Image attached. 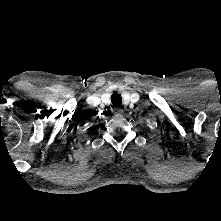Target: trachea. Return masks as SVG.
Returning a JSON list of instances; mask_svg holds the SVG:
<instances>
[{
    "mask_svg": "<svg viewBox=\"0 0 221 221\" xmlns=\"http://www.w3.org/2000/svg\"><path fill=\"white\" fill-rule=\"evenodd\" d=\"M111 102L114 106H120L122 104L121 94H119L118 92H114L111 95Z\"/></svg>",
    "mask_w": 221,
    "mask_h": 221,
    "instance_id": "trachea-1",
    "label": "trachea"
}]
</instances>
